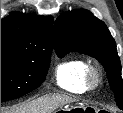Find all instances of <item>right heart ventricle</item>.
<instances>
[{
    "mask_svg": "<svg viewBox=\"0 0 123 113\" xmlns=\"http://www.w3.org/2000/svg\"><path fill=\"white\" fill-rule=\"evenodd\" d=\"M85 68L86 63L79 58L58 62L54 71L56 84L68 91H80L86 86Z\"/></svg>",
    "mask_w": 123,
    "mask_h": 113,
    "instance_id": "right-heart-ventricle-1",
    "label": "right heart ventricle"
}]
</instances>
